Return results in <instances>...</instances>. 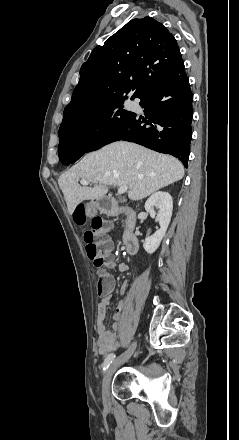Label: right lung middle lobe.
I'll return each instance as SVG.
<instances>
[{
    "instance_id": "1",
    "label": "right lung middle lobe",
    "mask_w": 239,
    "mask_h": 440,
    "mask_svg": "<svg viewBox=\"0 0 239 440\" xmlns=\"http://www.w3.org/2000/svg\"><path fill=\"white\" fill-rule=\"evenodd\" d=\"M124 99L114 98L96 110L62 122L58 131V150L63 147L88 146L101 134L127 121L133 113L122 110Z\"/></svg>"
}]
</instances>
